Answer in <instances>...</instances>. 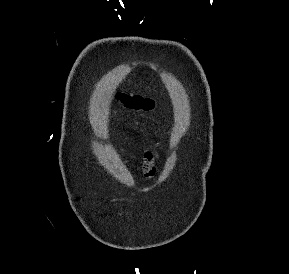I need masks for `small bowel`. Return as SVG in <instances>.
<instances>
[{"instance_id": "obj_1", "label": "small bowel", "mask_w": 289, "mask_h": 274, "mask_svg": "<svg viewBox=\"0 0 289 274\" xmlns=\"http://www.w3.org/2000/svg\"><path fill=\"white\" fill-rule=\"evenodd\" d=\"M143 174L144 177L150 179L154 177L160 166V155L157 150V145L154 143L146 148L143 152Z\"/></svg>"}]
</instances>
